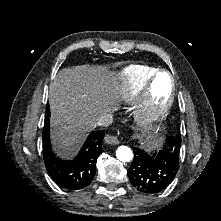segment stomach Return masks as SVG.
Instances as JSON below:
<instances>
[{
    "label": "stomach",
    "mask_w": 221,
    "mask_h": 221,
    "mask_svg": "<svg viewBox=\"0 0 221 221\" xmlns=\"http://www.w3.org/2000/svg\"><path fill=\"white\" fill-rule=\"evenodd\" d=\"M160 134L158 131L144 136L143 146L147 151H152L158 147Z\"/></svg>",
    "instance_id": "stomach-1"
}]
</instances>
